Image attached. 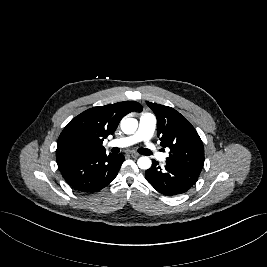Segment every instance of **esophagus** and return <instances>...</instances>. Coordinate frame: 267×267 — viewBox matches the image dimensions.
<instances>
[{
	"mask_svg": "<svg viewBox=\"0 0 267 267\" xmlns=\"http://www.w3.org/2000/svg\"><path fill=\"white\" fill-rule=\"evenodd\" d=\"M131 156H132L133 158H137V157H139L140 155H139L138 153H136V152H131Z\"/></svg>",
	"mask_w": 267,
	"mask_h": 267,
	"instance_id": "esophagus-1",
	"label": "esophagus"
}]
</instances>
